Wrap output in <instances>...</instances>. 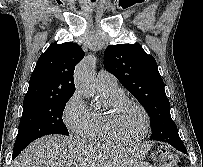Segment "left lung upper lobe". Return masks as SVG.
<instances>
[{
	"instance_id": "obj_1",
	"label": "left lung upper lobe",
	"mask_w": 203,
	"mask_h": 167,
	"mask_svg": "<svg viewBox=\"0 0 203 167\" xmlns=\"http://www.w3.org/2000/svg\"><path fill=\"white\" fill-rule=\"evenodd\" d=\"M104 66L147 111L151 120L152 140L163 141L171 135L179 137L153 56L137 43L113 45L105 50Z\"/></svg>"
}]
</instances>
